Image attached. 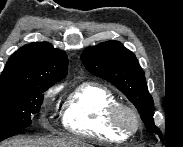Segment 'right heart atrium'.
<instances>
[{
	"label": "right heart atrium",
	"instance_id": "1",
	"mask_svg": "<svg viewBox=\"0 0 183 147\" xmlns=\"http://www.w3.org/2000/svg\"><path fill=\"white\" fill-rule=\"evenodd\" d=\"M55 93H56V89H55V88H51V89H49V90L45 93V98H46L47 100H51V99L54 97Z\"/></svg>",
	"mask_w": 183,
	"mask_h": 147
}]
</instances>
